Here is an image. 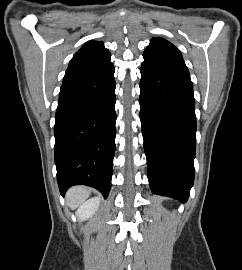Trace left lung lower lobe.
Here are the masks:
<instances>
[{"label":"left lung lower lobe","instance_id":"obj_1","mask_svg":"<svg viewBox=\"0 0 242 270\" xmlns=\"http://www.w3.org/2000/svg\"><path fill=\"white\" fill-rule=\"evenodd\" d=\"M140 120L151 191L186 202L193 185L196 116L187 67L144 59Z\"/></svg>","mask_w":242,"mask_h":270}]
</instances>
